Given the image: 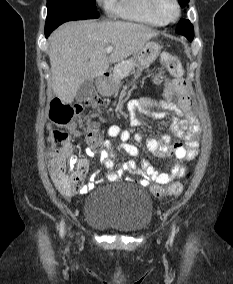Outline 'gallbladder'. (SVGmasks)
Instances as JSON below:
<instances>
[{
    "label": "gallbladder",
    "mask_w": 233,
    "mask_h": 284,
    "mask_svg": "<svg viewBox=\"0 0 233 284\" xmlns=\"http://www.w3.org/2000/svg\"><path fill=\"white\" fill-rule=\"evenodd\" d=\"M94 90L95 88H94L93 80L84 81L81 84L79 90L77 91V94L75 96L76 101L83 102L87 100L92 95Z\"/></svg>",
    "instance_id": "obj_1"
}]
</instances>
